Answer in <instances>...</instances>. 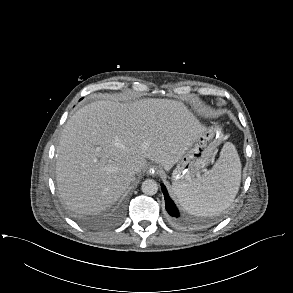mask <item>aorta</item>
<instances>
[{
	"mask_svg": "<svg viewBox=\"0 0 293 293\" xmlns=\"http://www.w3.org/2000/svg\"><path fill=\"white\" fill-rule=\"evenodd\" d=\"M141 190L146 195H155L158 191V184L153 179H146L142 183Z\"/></svg>",
	"mask_w": 293,
	"mask_h": 293,
	"instance_id": "obj_1",
	"label": "aorta"
}]
</instances>
